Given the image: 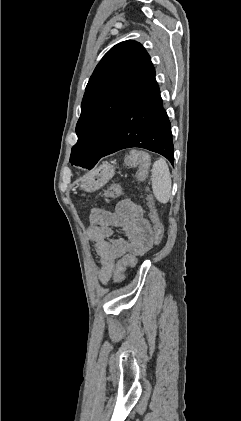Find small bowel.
<instances>
[{
  "instance_id": "1",
  "label": "small bowel",
  "mask_w": 241,
  "mask_h": 421,
  "mask_svg": "<svg viewBox=\"0 0 241 421\" xmlns=\"http://www.w3.org/2000/svg\"><path fill=\"white\" fill-rule=\"evenodd\" d=\"M115 229L121 233V237L113 238ZM88 235L99 256L98 276L103 284L114 275L118 259L125 255L143 256L151 248L154 239L142 207L129 199L122 200L113 211L93 209Z\"/></svg>"
}]
</instances>
